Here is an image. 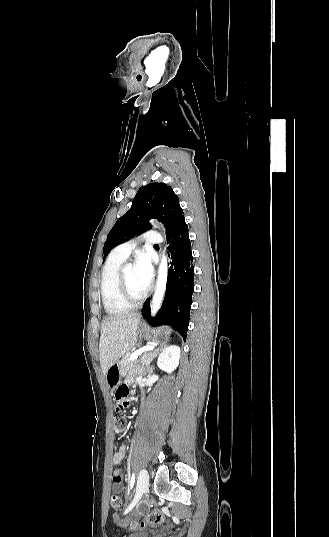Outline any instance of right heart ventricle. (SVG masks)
Listing matches in <instances>:
<instances>
[{"label": "right heart ventricle", "mask_w": 329, "mask_h": 537, "mask_svg": "<svg viewBox=\"0 0 329 537\" xmlns=\"http://www.w3.org/2000/svg\"><path fill=\"white\" fill-rule=\"evenodd\" d=\"M124 261V258L111 254L102 269L100 292L104 308L110 315L124 314L132 307L123 300L119 290L118 273Z\"/></svg>", "instance_id": "1"}]
</instances>
